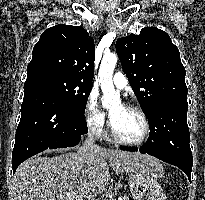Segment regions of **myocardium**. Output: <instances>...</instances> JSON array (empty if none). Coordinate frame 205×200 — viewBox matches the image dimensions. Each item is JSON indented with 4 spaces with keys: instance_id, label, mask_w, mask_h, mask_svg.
Returning <instances> with one entry per match:
<instances>
[{
    "instance_id": "obj_1",
    "label": "myocardium",
    "mask_w": 205,
    "mask_h": 200,
    "mask_svg": "<svg viewBox=\"0 0 205 200\" xmlns=\"http://www.w3.org/2000/svg\"><path fill=\"white\" fill-rule=\"evenodd\" d=\"M123 107L128 109V110H131L133 112H136L141 117L143 124H144L143 133H142L141 137L137 140L124 139L116 132V130L113 127L112 121H110L111 136L116 142H118L120 144L128 145V146H139V145L143 144L148 139V137L150 135L151 126H150L149 119H148L147 115L145 114V112L137 105L127 103V104H124Z\"/></svg>"
}]
</instances>
